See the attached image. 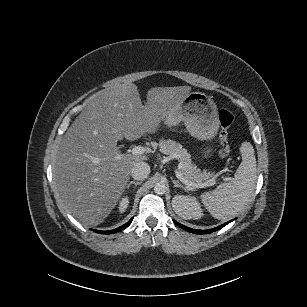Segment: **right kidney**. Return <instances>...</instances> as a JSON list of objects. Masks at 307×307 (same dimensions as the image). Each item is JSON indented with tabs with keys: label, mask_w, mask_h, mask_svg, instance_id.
<instances>
[{
	"label": "right kidney",
	"mask_w": 307,
	"mask_h": 307,
	"mask_svg": "<svg viewBox=\"0 0 307 307\" xmlns=\"http://www.w3.org/2000/svg\"><path fill=\"white\" fill-rule=\"evenodd\" d=\"M128 204H129L128 197L127 196L123 197L118 206L119 213H124L128 207Z\"/></svg>",
	"instance_id": "1"
}]
</instances>
